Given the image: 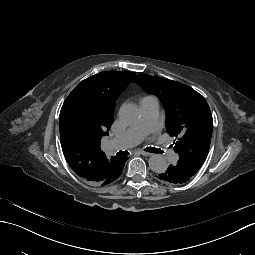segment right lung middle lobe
<instances>
[{"instance_id": "dd1d6c3e", "label": "right lung middle lobe", "mask_w": 255, "mask_h": 255, "mask_svg": "<svg viewBox=\"0 0 255 255\" xmlns=\"http://www.w3.org/2000/svg\"><path fill=\"white\" fill-rule=\"evenodd\" d=\"M86 137V130L78 124L69 123L60 128L61 142H76Z\"/></svg>"}]
</instances>
